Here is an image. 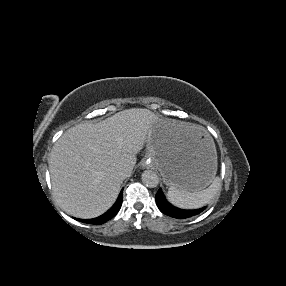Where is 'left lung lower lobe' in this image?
Wrapping results in <instances>:
<instances>
[{
	"label": "left lung lower lobe",
	"mask_w": 286,
	"mask_h": 286,
	"mask_svg": "<svg viewBox=\"0 0 286 286\" xmlns=\"http://www.w3.org/2000/svg\"><path fill=\"white\" fill-rule=\"evenodd\" d=\"M156 204L162 213L178 219H185L196 216L205 209V207L197 210L178 209L166 201L161 189H159L156 194Z\"/></svg>",
	"instance_id": "obj_1"
}]
</instances>
